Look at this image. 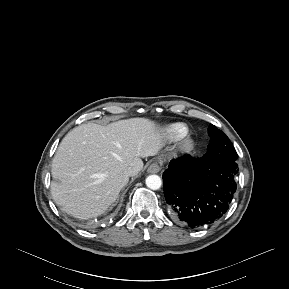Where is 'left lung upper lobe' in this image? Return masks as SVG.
Instances as JSON below:
<instances>
[{
  "instance_id": "left-lung-upper-lobe-1",
  "label": "left lung upper lobe",
  "mask_w": 289,
  "mask_h": 289,
  "mask_svg": "<svg viewBox=\"0 0 289 289\" xmlns=\"http://www.w3.org/2000/svg\"><path fill=\"white\" fill-rule=\"evenodd\" d=\"M210 144L208 145L206 157L217 162H234L237 159V152L229 138L216 126L210 124L208 128Z\"/></svg>"
}]
</instances>
